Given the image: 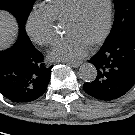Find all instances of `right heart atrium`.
Returning a JSON list of instances; mask_svg holds the SVG:
<instances>
[{
    "label": "right heart atrium",
    "mask_w": 135,
    "mask_h": 135,
    "mask_svg": "<svg viewBox=\"0 0 135 135\" xmlns=\"http://www.w3.org/2000/svg\"><path fill=\"white\" fill-rule=\"evenodd\" d=\"M26 32L40 46L51 45L55 40L54 22L45 11H35L29 15Z\"/></svg>",
    "instance_id": "obj_1"
}]
</instances>
